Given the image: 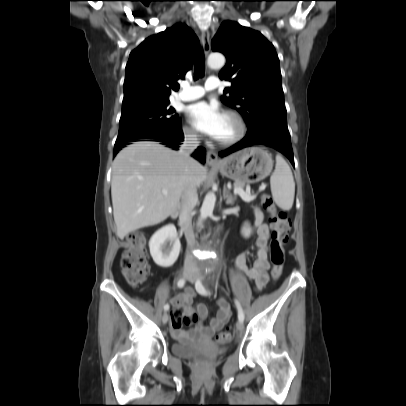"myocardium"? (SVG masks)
<instances>
[{
  "instance_id": "f54148a6",
  "label": "myocardium",
  "mask_w": 406,
  "mask_h": 406,
  "mask_svg": "<svg viewBox=\"0 0 406 406\" xmlns=\"http://www.w3.org/2000/svg\"><path fill=\"white\" fill-rule=\"evenodd\" d=\"M223 115L231 118L235 122L237 126V132L234 136L228 139L220 140L216 138V142L221 146H231L238 143L244 138L247 132V126L242 116L234 110H225L223 112Z\"/></svg>"
}]
</instances>
